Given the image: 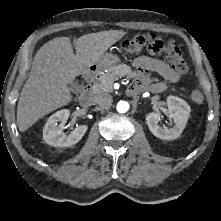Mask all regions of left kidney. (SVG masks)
Wrapping results in <instances>:
<instances>
[{"label": "left kidney", "mask_w": 221, "mask_h": 221, "mask_svg": "<svg viewBox=\"0 0 221 221\" xmlns=\"http://www.w3.org/2000/svg\"><path fill=\"white\" fill-rule=\"evenodd\" d=\"M168 113L174 120L175 125L171 128L160 127L158 121L159 113H149L146 122L149 130L154 136L164 140H174L180 136L186 126L190 114V106L181 98L169 96L167 98Z\"/></svg>", "instance_id": "5707ae66"}]
</instances>
